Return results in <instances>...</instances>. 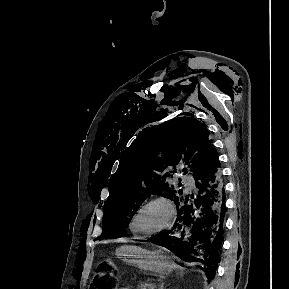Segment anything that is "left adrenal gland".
Instances as JSON below:
<instances>
[{
    "label": "left adrenal gland",
    "mask_w": 289,
    "mask_h": 289,
    "mask_svg": "<svg viewBox=\"0 0 289 289\" xmlns=\"http://www.w3.org/2000/svg\"><path fill=\"white\" fill-rule=\"evenodd\" d=\"M158 289H164V283H161Z\"/></svg>",
    "instance_id": "left-adrenal-gland-1"
}]
</instances>
